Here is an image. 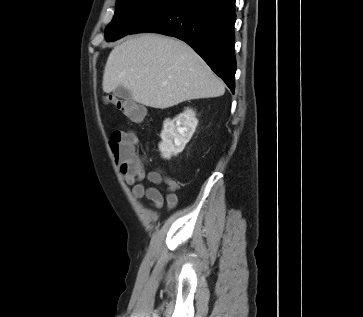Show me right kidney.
Instances as JSON below:
<instances>
[{"mask_svg":"<svg viewBox=\"0 0 363 317\" xmlns=\"http://www.w3.org/2000/svg\"><path fill=\"white\" fill-rule=\"evenodd\" d=\"M192 109H186L174 119H166L161 132L162 142L159 144L161 156L170 159L183 151L198 124Z\"/></svg>","mask_w":363,"mask_h":317,"instance_id":"obj_1","label":"right kidney"}]
</instances>
